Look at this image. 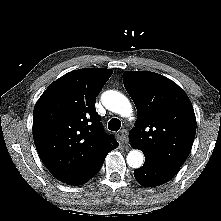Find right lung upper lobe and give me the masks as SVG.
Returning <instances> with one entry per match:
<instances>
[{"mask_svg": "<svg viewBox=\"0 0 221 221\" xmlns=\"http://www.w3.org/2000/svg\"><path fill=\"white\" fill-rule=\"evenodd\" d=\"M112 70L85 68L50 84L33 111V137L51 174L68 183L118 142L107 135L95 109L98 93Z\"/></svg>", "mask_w": 221, "mask_h": 221, "instance_id": "cb5924a9", "label": "right lung upper lobe"}]
</instances>
